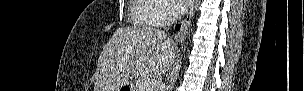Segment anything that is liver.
Here are the masks:
<instances>
[{
	"instance_id": "6515ba94",
	"label": "liver",
	"mask_w": 304,
	"mask_h": 91,
	"mask_svg": "<svg viewBox=\"0 0 304 91\" xmlns=\"http://www.w3.org/2000/svg\"><path fill=\"white\" fill-rule=\"evenodd\" d=\"M176 51L162 30L119 28L100 53L94 91H119L131 78L161 75L174 64Z\"/></svg>"
}]
</instances>
